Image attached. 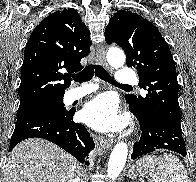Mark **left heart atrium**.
Masks as SVG:
<instances>
[{"label": "left heart atrium", "instance_id": "obj_1", "mask_svg": "<svg viewBox=\"0 0 196 182\" xmlns=\"http://www.w3.org/2000/svg\"><path fill=\"white\" fill-rule=\"evenodd\" d=\"M81 117L90 127L102 132L118 130L125 124V119L118 113L117 101L108 94L88 102Z\"/></svg>", "mask_w": 196, "mask_h": 182}]
</instances>
